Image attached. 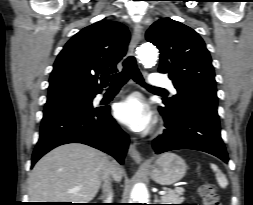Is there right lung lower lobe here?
<instances>
[{"label": "right lung lower lobe", "instance_id": "obj_1", "mask_svg": "<svg viewBox=\"0 0 253 205\" xmlns=\"http://www.w3.org/2000/svg\"><path fill=\"white\" fill-rule=\"evenodd\" d=\"M82 143L108 153L123 164L129 138L110 115V108L63 107L44 110L32 166L51 149Z\"/></svg>", "mask_w": 253, "mask_h": 205}]
</instances>
